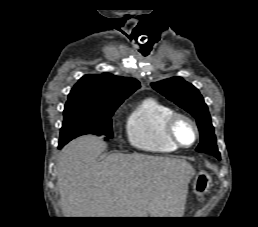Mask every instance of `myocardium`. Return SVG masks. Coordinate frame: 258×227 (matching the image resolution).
Returning <instances> with one entry per match:
<instances>
[{
    "label": "myocardium",
    "mask_w": 258,
    "mask_h": 227,
    "mask_svg": "<svg viewBox=\"0 0 258 227\" xmlns=\"http://www.w3.org/2000/svg\"><path fill=\"white\" fill-rule=\"evenodd\" d=\"M180 120H184V121L188 122L194 130V140L189 145H185V144L181 143L176 136L175 128H176L177 122ZM164 131H165V134L168 137V139L171 142H173L178 148L192 147L199 139V128H198L196 122L188 115L179 113V112H173L169 117H167V119L165 120V123H164Z\"/></svg>",
    "instance_id": "obj_1"
}]
</instances>
